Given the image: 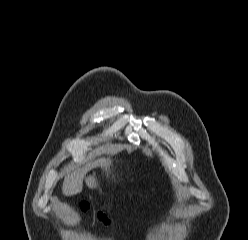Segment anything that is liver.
Wrapping results in <instances>:
<instances>
[{"label": "liver", "instance_id": "obj_1", "mask_svg": "<svg viewBox=\"0 0 248 240\" xmlns=\"http://www.w3.org/2000/svg\"><path fill=\"white\" fill-rule=\"evenodd\" d=\"M93 165H101L103 170L107 172V175L111 173L110 166L111 160L110 159H99ZM92 165V166H93ZM91 168V166H86L82 169L75 170L64 178L62 192L66 196H73L80 192L83 189V180L85 179L86 185L91 189H96L98 187V181L96 180L95 176H88L86 177V173Z\"/></svg>", "mask_w": 248, "mask_h": 240}]
</instances>
